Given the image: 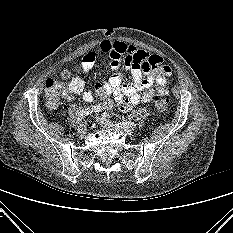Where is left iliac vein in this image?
Masks as SVG:
<instances>
[{
	"label": "left iliac vein",
	"mask_w": 233,
	"mask_h": 233,
	"mask_svg": "<svg viewBox=\"0 0 233 233\" xmlns=\"http://www.w3.org/2000/svg\"><path fill=\"white\" fill-rule=\"evenodd\" d=\"M97 122L103 126L104 128H107V129H112V130H115V131H120V132H123L127 135H133L134 132L132 129L130 128H125V127H122V126H118L116 123L114 122H108L106 120H104L102 117H97Z\"/></svg>",
	"instance_id": "obj_1"
}]
</instances>
